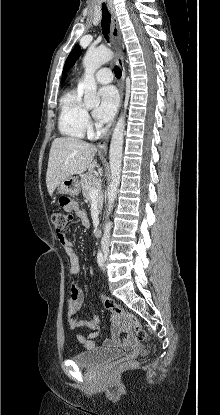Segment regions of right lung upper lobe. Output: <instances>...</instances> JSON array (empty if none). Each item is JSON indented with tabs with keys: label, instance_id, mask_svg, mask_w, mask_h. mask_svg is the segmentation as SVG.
I'll return each instance as SVG.
<instances>
[{
	"label": "right lung upper lobe",
	"instance_id": "right-lung-upper-lobe-1",
	"mask_svg": "<svg viewBox=\"0 0 220 415\" xmlns=\"http://www.w3.org/2000/svg\"><path fill=\"white\" fill-rule=\"evenodd\" d=\"M64 81V77L62 78V82Z\"/></svg>",
	"mask_w": 220,
	"mask_h": 415
}]
</instances>
